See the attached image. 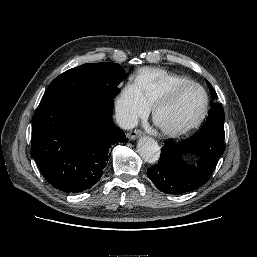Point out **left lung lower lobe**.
<instances>
[{"mask_svg": "<svg viewBox=\"0 0 257 257\" xmlns=\"http://www.w3.org/2000/svg\"><path fill=\"white\" fill-rule=\"evenodd\" d=\"M161 148L159 162L147 170L154 185L168 194H183L204 185L225 150L224 135L195 133L187 139H172ZM197 155L193 162L183 155ZM196 161V162H195Z\"/></svg>", "mask_w": 257, "mask_h": 257, "instance_id": "1", "label": "left lung lower lobe"}]
</instances>
